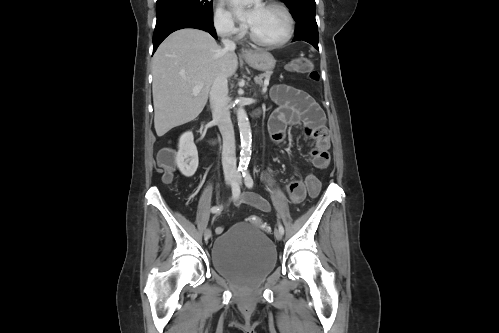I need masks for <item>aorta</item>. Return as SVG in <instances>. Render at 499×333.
I'll return each instance as SVG.
<instances>
[{
	"mask_svg": "<svg viewBox=\"0 0 499 333\" xmlns=\"http://www.w3.org/2000/svg\"><path fill=\"white\" fill-rule=\"evenodd\" d=\"M237 120L241 139L239 167L244 169L248 166L250 160L252 135L249 119L243 106H239L237 109Z\"/></svg>",
	"mask_w": 499,
	"mask_h": 333,
	"instance_id": "1",
	"label": "aorta"
}]
</instances>
